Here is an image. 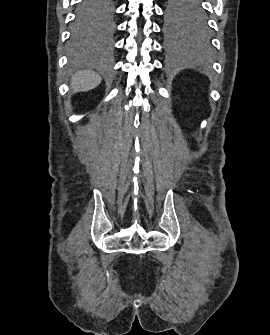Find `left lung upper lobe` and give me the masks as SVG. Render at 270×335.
I'll list each match as a JSON object with an SVG mask.
<instances>
[{"label":"left lung upper lobe","mask_w":270,"mask_h":335,"mask_svg":"<svg viewBox=\"0 0 270 335\" xmlns=\"http://www.w3.org/2000/svg\"><path fill=\"white\" fill-rule=\"evenodd\" d=\"M165 8L166 30L177 33L191 30H205L206 10L202 0H167Z\"/></svg>","instance_id":"1"}]
</instances>
